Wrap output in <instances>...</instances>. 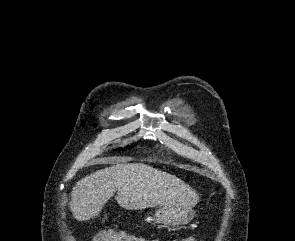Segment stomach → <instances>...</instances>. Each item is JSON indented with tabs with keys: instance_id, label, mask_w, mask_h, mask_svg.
<instances>
[{
	"instance_id": "stomach-1",
	"label": "stomach",
	"mask_w": 295,
	"mask_h": 241,
	"mask_svg": "<svg viewBox=\"0 0 295 241\" xmlns=\"http://www.w3.org/2000/svg\"><path fill=\"white\" fill-rule=\"evenodd\" d=\"M194 215L191 208L159 206L156 208L153 218L158 223L176 226L188 224Z\"/></svg>"
}]
</instances>
